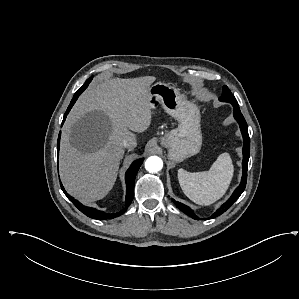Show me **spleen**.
I'll use <instances>...</instances> for the list:
<instances>
[{"label":"spleen","mask_w":299,"mask_h":299,"mask_svg":"<svg viewBox=\"0 0 299 299\" xmlns=\"http://www.w3.org/2000/svg\"><path fill=\"white\" fill-rule=\"evenodd\" d=\"M234 173L231 157L222 153L209 171L178 170V180L184 194L199 205H210L226 193Z\"/></svg>","instance_id":"1"}]
</instances>
